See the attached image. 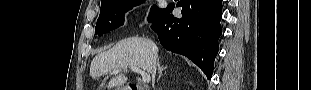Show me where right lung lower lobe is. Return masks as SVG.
Segmentation results:
<instances>
[{"instance_id":"obj_1","label":"right lung lower lobe","mask_w":311,"mask_h":90,"mask_svg":"<svg viewBox=\"0 0 311 90\" xmlns=\"http://www.w3.org/2000/svg\"><path fill=\"white\" fill-rule=\"evenodd\" d=\"M222 0H180L181 18L170 14V4L151 28L160 43L169 51L179 53L193 61L211 78L214 59L218 53V39L222 29Z\"/></svg>"}]
</instances>
